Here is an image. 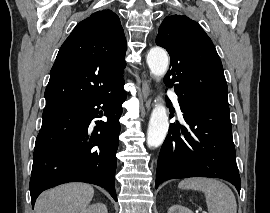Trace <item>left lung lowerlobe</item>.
<instances>
[{"label": "left lung lower lobe", "instance_id": "left-lung-lower-lobe-1", "mask_svg": "<svg viewBox=\"0 0 270 213\" xmlns=\"http://www.w3.org/2000/svg\"><path fill=\"white\" fill-rule=\"evenodd\" d=\"M177 95L187 128L181 127L180 137V127L170 124L158 158L156 188L169 179L212 177L231 182L240 193L229 108Z\"/></svg>", "mask_w": 270, "mask_h": 213}]
</instances>
